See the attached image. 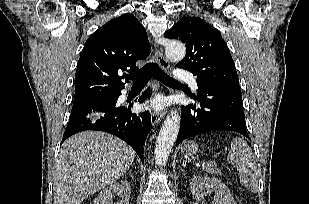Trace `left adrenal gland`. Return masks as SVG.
Returning <instances> with one entry per match:
<instances>
[{"mask_svg": "<svg viewBox=\"0 0 309 204\" xmlns=\"http://www.w3.org/2000/svg\"><path fill=\"white\" fill-rule=\"evenodd\" d=\"M182 165L185 166V165H186V162L184 161Z\"/></svg>", "mask_w": 309, "mask_h": 204, "instance_id": "left-adrenal-gland-1", "label": "left adrenal gland"}]
</instances>
